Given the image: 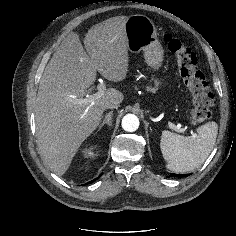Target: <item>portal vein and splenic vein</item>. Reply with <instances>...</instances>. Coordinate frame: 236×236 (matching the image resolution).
Segmentation results:
<instances>
[{"label": "portal vein and splenic vein", "mask_w": 236, "mask_h": 236, "mask_svg": "<svg viewBox=\"0 0 236 236\" xmlns=\"http://www.w3.org/2000/svg\"><path fill=\"white\" fill-rule=\"evenodd\" d=\"M97 89H98V92H96L94 94H87L86 98L79 99L78 103H87V102L94 103L96 100L102 98L104 96V93L106 90L103 81H100V83L97 86ZM168 124L171 129H174L177 132L184 133V131H185L183 128H181V124L175 125L171 122H169Z\"/></svg>", "instance_id": "portal-vein-and-splenic-vein-1"}]
</instances>
